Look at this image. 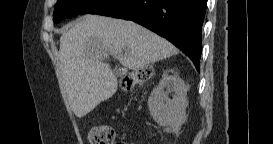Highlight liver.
<instances>
[{
	"label": "liver",
	"mask_w": 273,
	"mask_h": 144,
	"mask_svg": "<svg viewBox=\"0 0 273 144\" xmlns=\"http://www.w3.org/2000/svg\"><path fill=\"white\" fill-rule=\"evenodd\" d=\"M177 53L172 43L132 21L90 14L78 19L62 33L59 50L72 111L82 118L116 92L117 78L104 62L107 55L138 70Z\"/></svg>",
	"instance_id": "6515ba94"
}]
</instances>
